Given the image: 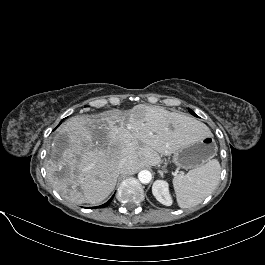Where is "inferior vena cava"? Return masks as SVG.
Masks as SVG:
<instances>
[{
    "mask_svg": "<svg viewBox=\"0 0 265 265\" xmlns=\"http://www.w3.org/2000/svg\"><path fill=\"white\" fill-rule=\"evenodd\" d=\"M126 166H127V163L124 160L120 161V163H119V172L120 173H124L125 170H126Z\"/></svg>",
    "mask_w": 265,
    "mask_h": 265,
    "instance_id": "inferior-vena-cava-1",
    "label": "inferior vena cava"
}]
</instances>
